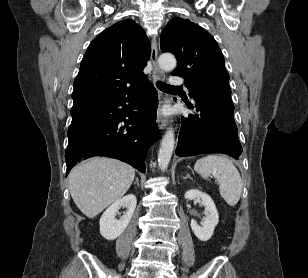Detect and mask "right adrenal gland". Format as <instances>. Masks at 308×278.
<instances>
[{
  "instance_id": "1",
  "label": "right adrenal gland",
  "mask_w": 308,
  "mask_h": 278,
  "mask_svg": "<svg viewBox=\"0 0 308 278\" xmlns=\"http://www.w3.org/2000/svg\"><path fill=\"white\" fill-rule=\"evenodd\" d=\"M135 179H136V181L134 182V184H137V186H139V179H138V177H136Z\"/></svg>"
}]
</instances>
